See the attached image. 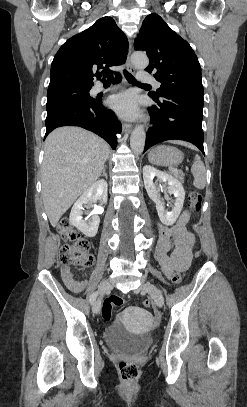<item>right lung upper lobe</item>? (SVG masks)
Wrapping results in <instances>:
<instances>
[{
  "label": "right lung upper lobe",
  "instance_id": "cb5924a9",
  "mask_svg": "<svg viewBox=\"0 0 247 407\" xmlns=\"http://www.w3.org/2000/svg\"><path fill=\"white\" fill-rule=\"evenodd\" d=\"M128 41L111 17L97 20L90 28L68 39L51 64L50 89L93 86V76L111 73L109 66L125 62ZM103 69L101 73L98 70Z\"/></svg>",
  "mask_w": 247,
  "mask_h": 407
}]
</instances>
